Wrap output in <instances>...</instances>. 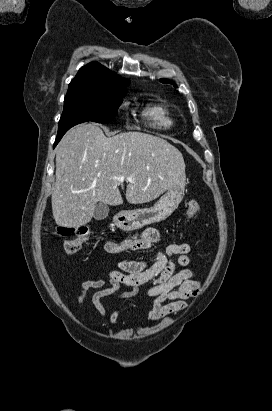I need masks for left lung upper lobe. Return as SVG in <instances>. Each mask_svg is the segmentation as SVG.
I'll use <instances>...</instances> for the list:
<instances>
[{
  "instance_id": "1",
  "label": "left lung upper lobe",
  "mask_w": 272,
  "mask_h": 411,
  "mask_svg": "<svg viewBox=\"0 0 272 411\" xmlns=\"http://www.w3.org/2000/svg\"><path fill=\"white\" fill-rule=\"evenodd\" d=\"M160 81H161L162 83H170V84L173 83L172 81H169V80H166V79H161ZM173 85L176 87L175 84H173Z\"/></svg>"
}]
</instances>
